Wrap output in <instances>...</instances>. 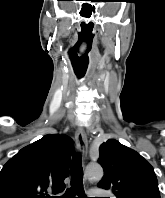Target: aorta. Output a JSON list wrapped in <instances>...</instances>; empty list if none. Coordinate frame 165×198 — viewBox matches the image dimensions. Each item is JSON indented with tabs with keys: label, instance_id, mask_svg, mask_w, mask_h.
I'll list each match as a JSON object with an SVG mask.
<instances>
[{
	"label": "aorta",
	"instance_id": "obj_1",
	"mask_svg": "<svg viewBox=\"0 0 165 198\" xmlns=\"http://www.w3.org/2000/svg\"><path fill=\"white\" fill-rule=\"evenodd\" d=\"M88 177L93 181H99L103 177V169L98 164H90L86 169Z\"/></svg>",
	"mask_w": 165,
	"mask_h": 198
}]
</instances>
